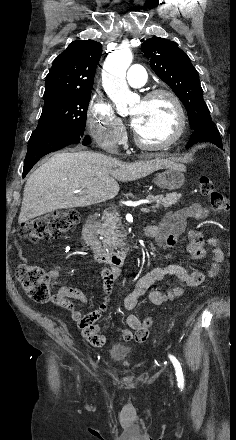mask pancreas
Segmentation results:
<instances>
[{
    "label": "pancreas",
    "mask_w": 236,
    "mask_h": 440,
    "mask_svg": "<svg viewBox=\"0 0 236 440\" xmlns=\"http://www.w3.org/2000/svg\"><path fill=\"white\" fill-rule=\"evenodd\" d=\"M181 194L170 193L164 195H148L147 199L155 202L154 209L159 207L169 208L175 205ZM98 231L102 237L103 246L107 251H114V249L122 248L124 232L122 231L121 220L116 212L108 213L102 216V222L98 224Z\"/></svg>",
    "instance_id": "pancreas-1"
}]
</instances>
